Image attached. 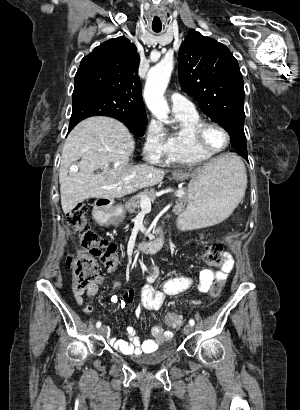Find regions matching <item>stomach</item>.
<instances>
[{
	"instance_id": "stomach-1",
	"label": "stomach",
	"mask_w": 300,
	"mask_h": 410,
	"mask_svg": "<svg viewBox=\"0 0 300 410\" xmlns=\"http://www.w3.org/2000/svg\"><path fill=\"white\" fill-rule=\"evenodd\" d=\"M232 156L222 167H204L192 174H177V179L191 178L188 205L181 217L183 229H197L223 222L242 198L243 185ZM123 214L121 206L107 213L110 219Z\"/></svg>"
}]
</instances>
